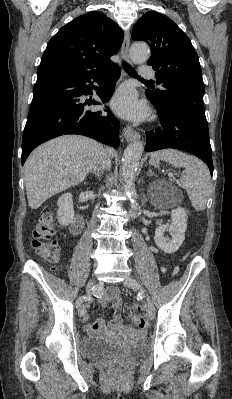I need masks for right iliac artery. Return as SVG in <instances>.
Returning <instances> with one entry per match:
<instances>
[{"mask_svg":"<svg viewBox=\"0 0 232 399\" xmlns=\"http://www.w3.org/2000/svg\"><path fill=\"white\" fill-rule=\"evenodd\" d=\"M91 299H92V296L89 294L81 295L76 301V307L78 308L81 305V303H83L86 300H91Z\"/></svg>","mask_w":232,"mask_h":399,"instance_id":"82829eb1","label":"right iliac artery"}]
</instances>
